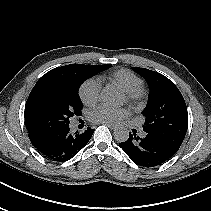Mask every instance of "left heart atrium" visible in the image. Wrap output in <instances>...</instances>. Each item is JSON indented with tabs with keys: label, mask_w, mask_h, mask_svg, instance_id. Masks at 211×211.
Listing matches in <instances>:
<instances>
[{
	"label": "left heart atrium",
	"mask_w": 211,
	"mask_h": 211,
	"mask_svg": "<svg viewBox=\"0 0 211 211\" xmlns=\"http://www.w3.org/2000/svg\"><path fill=\"white\" fill-rule=\"evenodd\" d=\"M129 114L126 108L112 107L101 104L90 113V119L96 123L118 122Z\"/></svg>",
	"instance_id": "obj_1"
}]
</instances>
